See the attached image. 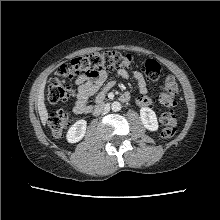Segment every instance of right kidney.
I'll return each instance as SVG.
<instances>
[{
    "mask_svg": "<svg viewBox=\"0 0 220 220\" xmlns=\"http://www.w3.org/2000/svg\"><path fill=\"white\" fill-rule=\"evenodd\" d=\"M87 122L85 120H78L68 130L66 139L69 143L79 142L85 135Z\"/></svg>",
    "mask_w": 220,
    "mask_h": 220,
    "instance_id": "obj_1",
    "label": "right kidney"
}]
</instances>
